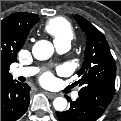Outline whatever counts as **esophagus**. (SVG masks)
<instances>
[{"label":"esophagus","instance_id":"obj_1","mask_svg":"<svg viewBox=\"0 0 121 121\" xmlns=\"http://www.w3.org/2000/svg\"><path fill=\"white\" fill-rule=\"evenodd\" d=\"M45 93L51 98H55L57 96L56 93H52V92H45Z\"/></svg>","mask_w":121,"mask_h":121}]
</instances>
